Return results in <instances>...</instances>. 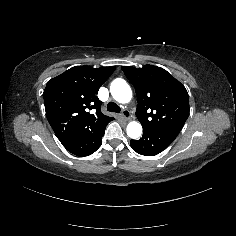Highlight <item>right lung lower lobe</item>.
<instances>
[{
  "label": "right lung lower lobe",
  "mask_w": 236,
  "mask_h": 236,
  "mask_svg": "<svg viewBox=\"0 0 236 236\" xmlns=\"http://www.w3.org/2000/svg\"><path fill=\"white\" fill-rule=\"evenodd\" d=\"M108 122L81 134L76 139L63 145L70 153L76 156H88L94 153L102 144V137Z\"/></svg>",
  "instance_id": "98d812e1"
}]
</instances>
